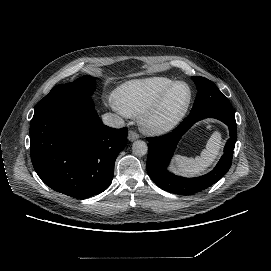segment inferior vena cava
<instances>
[{
  "instance_id": "inferior-vena-cava-1",
  "label": "inferior vena cava",
  "mask_w": 271,
  "mask_h": 271,
  "mask_svg": "<svg viewBox=\"0 0 271 271\" xmlns=\"http://www.w3.org/2000/svg\"><path fill=\"white\" fill-rule=\"evenodd\" d=\"M102 119L105 125L112 128H123L125 126L124 121L120 117L112 113L104 114Z\"/></svg>"
}]
</instances>
